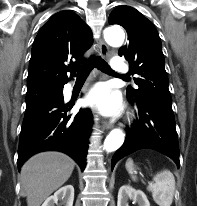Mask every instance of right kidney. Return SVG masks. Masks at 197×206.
Wrapping results in <instances>:
<instances>
[{
	"mask_svg": "<svg viewBox=\"0 0 197 206\" xmlns=\"http://www.w3.org/2000/svg\"><path fill=\"white\" fill-rule=\"evenodd\" d=\"M61 201L65 206H73L74 200V187L72 185H66L61 187L54 195L45 200L42 206H55L58 201Z\"/></svg>",
	"mask_w": 197,
	"mask_h": 206,
	"instance_id": "ca27d5eb",
	"label": "right kidney"
}]
</instances>
